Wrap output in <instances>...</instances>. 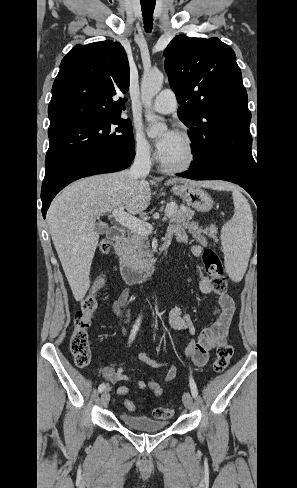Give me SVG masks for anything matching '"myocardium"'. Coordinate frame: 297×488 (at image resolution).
<instances>
[{
    "mask_svg": "<svg viewBox=\"0 0 297 488\" xmlns=\"http://www.w3.org/2000/svg\"><path fill=\"white\" fill-rule=\"evenodd\" d=\"M177 135L185 141L188 147L189 156L188 159L181 165H169L165 163L160 156H158V163L166 172L180 173L188 171L194 166L197 160V147L193 138L185 132H179Z\"/></svg>",
    "mask_w": 297,
    "mask_h": 488,
    "instance_id": "obj_1",
    "label": "myocardium"
}]
</instances>
